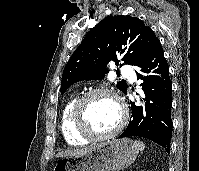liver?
Masks as SVG:
<instances>
[{"mask_svg":"<svg viewBox=\"0 0 199 171\" xmlns=\"http://www.w3.org/2000/svg\"><path fill=\"white\" fill-rule=\"evenodd\" d=\"M93 148L94 147L82 148V149H74V150H67V151L58 153L56 155V157H68V156L81 155V154H84V153L92 150Z\"/></svg>","mask_w":199,"mask_h":171,"instance_id":"1","label":"liver"}]
</instances>
